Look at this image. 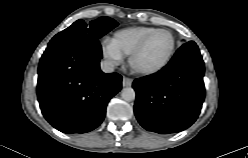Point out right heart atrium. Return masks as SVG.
<instances>
[{"label":"right heart atrium","instance_id":"right-heart-atrium-1","mask_svg":"<svg viewBox=\"0 0 248 158\" xmlns=\"http://www.w3.org/2000/svg\"><path fill=\"white\" fill-rule=\"evenodd\" d=\"M101 52L103 57L112 66H117L124 60L123 54L116 48L110 39H104L101 42Z\"/></svg>","mask_w":248,"mask_h":158}]
</instances>
